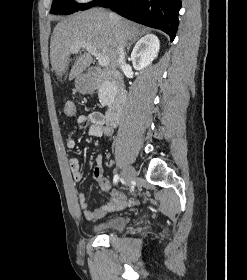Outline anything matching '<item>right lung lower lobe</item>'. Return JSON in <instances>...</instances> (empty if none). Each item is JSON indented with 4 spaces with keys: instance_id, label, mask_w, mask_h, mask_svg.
<instances>
[{
    "instance_id": "98d812e1",
    "label": "right lung lower lobe",
    "mask_w": 247,
    "mask_h": 280,
    "mask_svg": "<svg viewBox=\"0 0 247 280\" xmlns=\"http://www.w3.org/2000/svg\"><path fill=\"white\" fill-rule=\"evenodd\" d=\"M97 5L110 7L128 19L161 29L171 41L175 38L180 0H101Z\"/></svg>"
}]
</instances>
